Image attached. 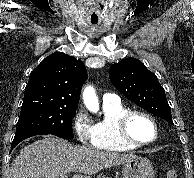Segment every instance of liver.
<instances>
[{"label": "liver", "instance_id": "liver-1", "mask_svg": "<svg viewBox=\"0 0 194 178\" xmlns=\"http://www.w3.org/2000/svg\"><path fill=\"white\" fill-rule=\"evenodd\" d=\"M135 158L131 153L99 151L47 136L20 151L11 165L9 178H59L70 172L79 173L73 178H90L104 168Z\"/></svg>", "mask_w": 194, "mask_h": 178}]
</instances>
